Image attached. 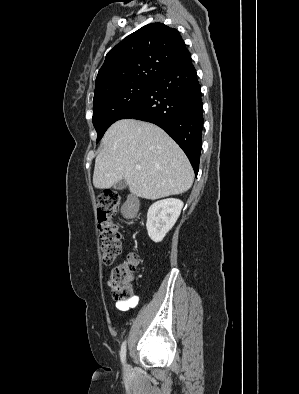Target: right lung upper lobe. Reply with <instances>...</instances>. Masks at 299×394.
<instances>
[{
  "label": "right lung upper lobe",
  "mask_w": 299,
  "mask_h": 394,
  "mask_svg": "<svg viewBox=\"0 0 299 394\" xmlns=\"http://www.w3.org/2000/svg\"><path fill=\"white\" fill-rule=\"evenodd\" d=\"M189 54L176 29L162 23L145 25L107 53L94 95L128 83H152Z\"/></svg>",
  "instance_id": "cb5924a9"
}]
</instances>
